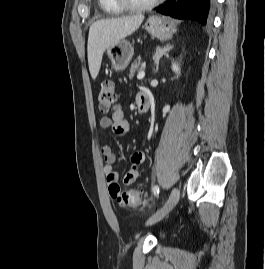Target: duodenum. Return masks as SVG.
<instances>
[{
	"label": "duodenum",
	"mask_w": 265,
	"mask_h": 269,
	"mask_svg": "<svg viewBox=\"0 0 265 269\" xmlns=\"http://www.w3.org/2000/svg\"><path fill=\"white\" fill-rule=\"evenodd\" d=\"M137 105L141 112H146L149 109V98L146 94L140 93L137 96Z\"/></svg>",
	"instance_id": "obj_1"
}]
</instances>
